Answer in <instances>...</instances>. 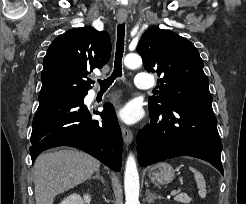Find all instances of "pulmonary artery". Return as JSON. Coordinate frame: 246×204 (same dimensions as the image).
I'll use <instances>...</instances> for the list:
<instances>
[{
    "label": "pulmonary artery",
    "instance_id": "pulmonary-artery-1",
    "mask_svg": "<svg viewBox=\"0 0 246 204\" xmlns=\"http://www.w3.org/2000/svg\"><path fill=\"white\" fill-rule=\"evenodd\" d=\"M135 86L141 90H148L152 88L153 81L148 73L140 72L135 76Z\"/></svg>",
    "mask_w": 246,
    "mask_h": 204
}]
</instances>
